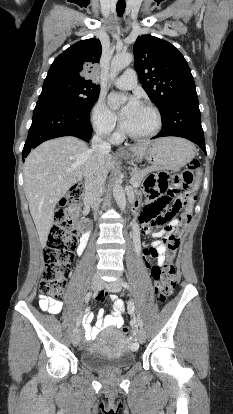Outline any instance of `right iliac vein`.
I'll return each mask as SVG.
<instances>
[{
  "label": "right iliac vein",
  "instance_id": "right-iliac-vein-1",
  "mask_svg": "<svg viewBox=\"0 0 233 414\" xmlns=\"http://www.w3.org/2000/svg\"><path fill=\"white\" fill-rule=\"evenodd\" d=\"M101 285H102V281L100 279V276L98 274H95L92 277V280H91L92 289L95 290V291H98V290H100ZM80 337H81L80 329L75 328L73 333H72V344L74 346H77L79 344Z\"/></svg>",
  "mask_w": 233,
  "mask_h": 414
}]
</instances>
